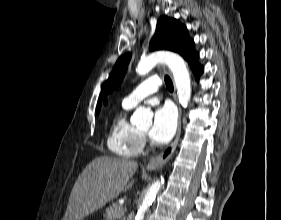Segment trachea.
<instances>
[{
    "label": "trachea",
    "mask_w": 281,
    "mask_h": 220,
    "mask_svg": "<svg viewBox=\"0 0 281 220\" xmlns=\"http://www.w3.org/2000/svg\"><path fill=\"white\" fill-rule=\"evenodd\" d=\"M165 83H166L167 89L170 92H172L173 91V83H172L171 79L168 76H165Z\"/></svg>",
    "instance_id": "obj_1"
}]
</instances>
